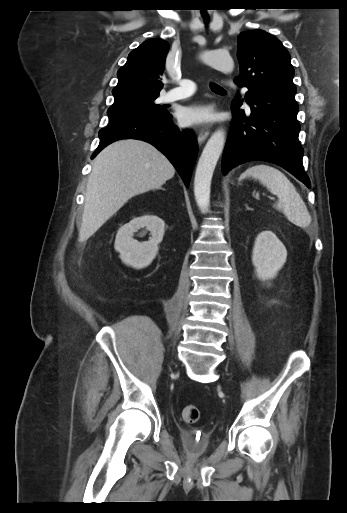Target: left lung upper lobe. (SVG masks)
<instances>
[{
  "instance_id": "obj_1",
  "label": "left lung upper lobe",
  "mask_w": 347,
  "mask_h": 513,
  "mask_svg": "<svg viewBox=\"0 0 347 513\" xmlns=\"http://www.w3.org/2000/svg\"><path fill=\"white\" fill-rule=\"evenodd\" d=\"M240 75L234 81L252 90L296 92L290 55L281 41L263 30L238 36Z\"/></svg>"
}]
</instances>
